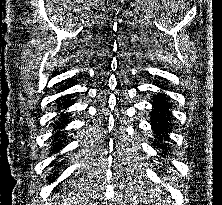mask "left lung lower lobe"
Returning <instances> with one entry per match:
<instances>
[{
  "label": "left lung lower lobe",
  "mask_w": 222,
  "mask_h": 205,
  "mask_svg": "<svg viewBox=\"0 0 222 205\" xmlns=\"http://www.w3.org/2000/svg\"><path fill=\"white\" fill-rule=\"evenodd\" d=\"M161 89H166L165 86L158 85ZM152 111H151V125L154 129L156 137L162 141L167 140L168 136L165 135L171 127L172 116L169 112V109L172 106L168 103V97L165 94L158 93L152 102ZM159 141L156 143V146L159 147ZM159 145V146H158ZM164 148V146H163ZM167 155V152L162 154L163 157Z\"/></svg>",
  "instance_id": "1"
}]
</instances>
